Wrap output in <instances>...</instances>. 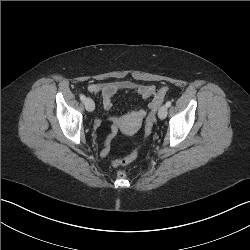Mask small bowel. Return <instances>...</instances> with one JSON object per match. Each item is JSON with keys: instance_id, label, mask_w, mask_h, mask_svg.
I'll list each match as a JSON object with an SVG mask.
<instances>
[{"instance_id": "1", "label": "small bowel", "mask_w": 250, "mask_h": 250, "mask_svg": "<svg viewBox=\"0 0 250 250\" xmlns=\"http://www.w3.org/2000/svg\"><path fill=\"white\" fill-rule=\"evenodd\" d=\"M90 93L98 94L102 98L103 107L105 110H109L113 105L114 96L121 91L134 92L141 96L143 99H153L156 89L152 85L138 84L129 80H118L107 83H90L87 86ZM151 104V102H150ZM149 104V108H150ZM147 111L145 109H137L123 117H112V122H118L119 125L123 120H131L134 122H140L145 116ZM101 124V119H96V125Z\"/></svg>"}]
</instances>
